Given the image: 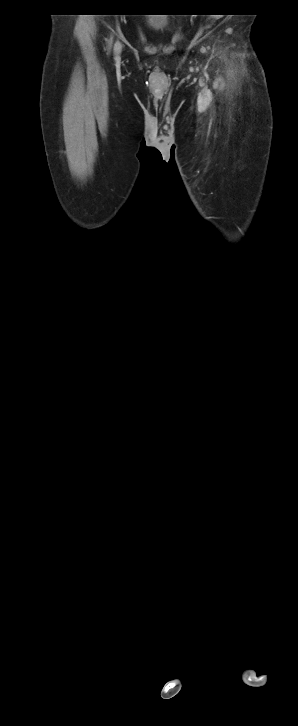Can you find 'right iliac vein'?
Wrapping results in <instances>:
<instances>
[{"label":"right iliac vein","instance_id":"1","mask_svg":"<svg viewBox=\"0 0 298 726\" xmlns=\"http://www.w3.org/2000/svg\"><path fill=\"white\" fill-rule=\"evenodd\" d=\"M119 52H120V44H117L116 45V53L119 54Z\"/></svg>","mask_w":298,"mask_h":726}]
</instances>
